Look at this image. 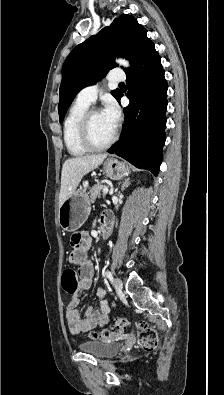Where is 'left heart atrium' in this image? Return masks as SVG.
<instances>
[{
    "mask_svg": "<svg viewBox=\"0 0 224 395\" xmlns=\"http://www.w3.org/2000/svg\"><path fill=\"white\" fill-rule=\"evenodd\" d=\"M101 113L104 117L116 127L120 119V110L113 99H107Z\"/></svg>",
    "mask_w": 224,
    "mask_h": 395,
    "instance_id": "left-heart-atrium-1",
    "label": "left heart atrium"
}]
</instances>
